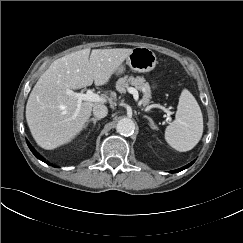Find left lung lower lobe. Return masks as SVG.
I'll return each mask as SVG.
<instances>
[{"label": "left lung lower lobe", "instance_id": "left-lung-lower-lobe-1", "mask_svg": "<svg viewBox=\"0 0 243 243\" xmlns=\"http://www.w3.org/2000/svg\"><path fill=\"white\" fill-rule=\"evenodd\" d=\"M193 163H194V161H193V162H191L190 164H188V165H186V166H184V167L180 168V169L173 170V171H170V172H171V173L180 172V171H182V170H184V169L188 168L189 166H191Z\"/></svg>", "mask_w": 243, "mask_h": 243}]
</instances>
